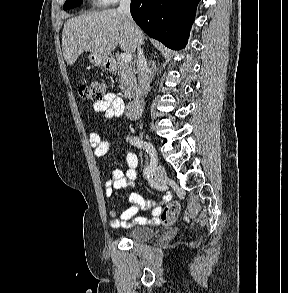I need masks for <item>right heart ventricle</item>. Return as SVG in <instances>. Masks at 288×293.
Instances as JSON below:
<instances>
[{"label": "right heart ventricle", "mask_w": 288, "mask_h": 293, "mask_svg": "<svg viewBox=\"0 0 288 293\" xmlns=\"http://www.w3.org/2000/svg\"><path fill=\"white\" fill-rule=\"evenodd\" d=\"M94 1V3H96V4H104L101 0H93Z\"/></svg>", "instance_id": "obj_1"}]
</instances>
